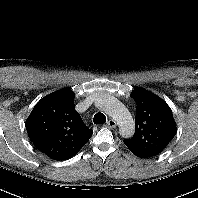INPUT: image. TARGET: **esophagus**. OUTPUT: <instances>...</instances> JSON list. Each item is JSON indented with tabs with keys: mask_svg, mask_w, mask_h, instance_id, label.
<instances>
[{
	"mask_svg": "<svg viewBox=\"0 0 198 198\" xmlns=\"http://www.w3.org/2000/svg\"><path fill=\"white\" fill-rule=\"evenodd\" d=\"M116 125H117V124H116V122H115L113 119L108 120L107 123H106V126H107L108 128H115Z\"/></svg>",
	"mask_w": 198,
	"mask_h": 198,
	"instance_id": "34e87169",
	"label": "esophagus"
}]
</instances>
